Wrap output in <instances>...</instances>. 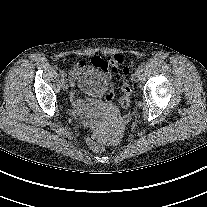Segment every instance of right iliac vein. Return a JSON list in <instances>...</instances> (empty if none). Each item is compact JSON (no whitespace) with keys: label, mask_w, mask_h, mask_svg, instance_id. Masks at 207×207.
Here are the masks:
<instances>
[{"label":"right iliac vein","mask_w":207,"mask_h":207,"mask_svg":"<svg viewBox=\"0 0 207 207\" xmlns=\"http://www.w3.org/2000/svg\"><path fill=\"white\" fill-rule=\"evenodd\" d=\"M61 83H62V88L64 89V90H67L68 88H69V85H68V81L66 80V79H62L61 80Z\"/></svg>","instance_id":"obj_1"}]
</instances>
